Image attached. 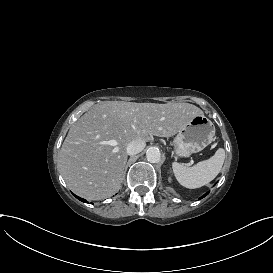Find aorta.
<instances>
[{
	"label": "aorta",
	"mask_w": 273,
	"mask_h": 273,
	"mask_svg": "<svg viewBox=\"0 0 273 273\" xmlns=\"http://www.w3.org/2000/svg\"><path fill=\"white\" fill-rule=\"evenodd\" d=\"M146 158L150 163H158L161 159V153L158 148L150 147L146 151Z\"/></svg>",
	"instance_id": "1"
}]
</instances>
